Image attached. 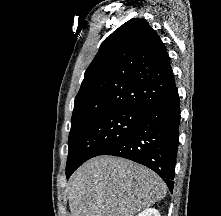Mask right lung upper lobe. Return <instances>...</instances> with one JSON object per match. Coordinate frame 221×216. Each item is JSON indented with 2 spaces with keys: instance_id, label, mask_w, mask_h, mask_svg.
<instances>
[{
  "instance_id": "obj_1",
  "label": "right lung upper lobe",
  "mask_w": 221,
  "mask_h": 216,
  "mask_svg": "<svg viewBox=\"0 0 221 216\" xmlns=\"http://www.w3.org/2000/svg\"><path fill=\"white\" fill-rule=\"evenodd\" d=\"M174 82L158 34L145 20L131 19L103 41L87 68L71 126L113 110H144Z\"/></svg>"
}]
</instances>
